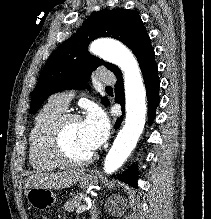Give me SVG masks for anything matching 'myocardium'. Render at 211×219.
<instances>
[{"mask_svg":"<svg viewBox=\"0 0 211 219\" xmlns=\"http://www.w3.org/2000/svg\"><path fill=\"white\" fill-rule=\"evenodd\" d=\"M72 121H80V116L70 112H64L58 116L47 130L45 137L46 146L52 157L62 164L85 166L94 160L96 153L93 151L84 158H76L69 154L65 147L64 136L68 125Z\"/></svg>","mask_w":211,"mask_h":219,"instance_id":"f54148a6","label":"myocardium"}]
</instances>
